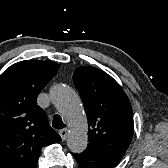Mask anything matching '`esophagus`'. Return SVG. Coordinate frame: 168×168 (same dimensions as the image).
Masks as SVG:
<instances>
[{
    "label": "esophagus",
    "instance_id": "34e87169",
    "mask_svg": "<svg viewBox=\"0 0 168 168\" xmlns=\"http://www.w3.org/2000/svg\"><path fill=\"white\" fill-rule=\"evenodd\" d=\"M59 135L61 136V139L65 141L68 137V129L64 128L59 131Z\"/></svg>",
    "mask_w": 168,
    "mask_h": 168
}]
</instances>
